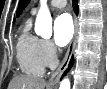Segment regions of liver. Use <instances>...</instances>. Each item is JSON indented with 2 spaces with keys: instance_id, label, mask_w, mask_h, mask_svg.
<instances>
[{
  "instance_id": "obj_1",
  "label": "liver",
  "mask_w": 107,
  "mask_h": 89,
  "mask_svg": "<svg viewBox=\"0 0 107 89\" xmlns=\"http://www.w3.org/2000/svg\"><path fill=\"white\" fill-rule=\"evenodd\" d=\"M45 86L46 81L42 78L19 75L11 80L8 89H44Z\"/></svg>"
}]
</instances>
